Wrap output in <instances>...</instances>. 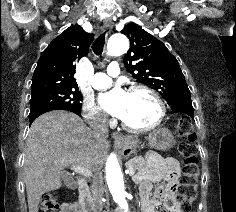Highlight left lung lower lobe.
<instances>
[{"label":"left lung lower lobe","mask_w":236,"mask_h":212,"mask_svg":"<svg viewBox=\"0 0 236 212\" xmlns=\"http://www.w3.org/2000/svg\"><path fill=\"white\" fill-rule=\"evenodd\" d=\"M172 113H185L194 119L190 95L177 96L169 102Z\"/></svg>","instance_id":"1"}]
</instances>
